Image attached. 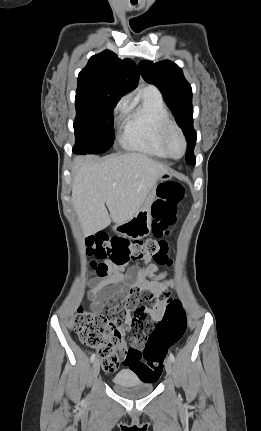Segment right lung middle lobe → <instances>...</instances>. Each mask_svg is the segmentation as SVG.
I'll list each match as a JSON object with an SVG mask.
<instances>
[{"label": "right lung middle lobe", "mask_w": 261, "mask_h": 431, "mask_svg": "<svg viewBox=\"0 0 261 431\" xmlns=\"http://www.w3.org/2000/svg\"><path fill=\"white\" fill-rule=\"evenodd\" d=\"M120 95L91 87H77L74 133L76 154H99L114 142L113 109Z\"/></svg>", "instance_id": "right-lung-middle-lobe-1"}]
</instances>
